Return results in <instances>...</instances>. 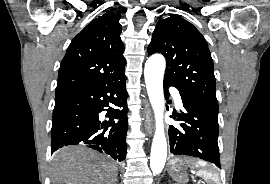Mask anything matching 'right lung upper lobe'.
<instances>
[{"label": "right lung upper lobe", "mask_w": 270, "mask_h": 184, "mask_svg": "<svg viewBox=\"0 0 270 184\" xmlns=\"http://www.w3.org/2000/svg\"><path fill=\"white\" fill-rule=\"evenodd\" d=\"M120 17L111 9L74 37L60 65L56 93L105 83L124 74Z\"/></svg>", "instance_id": "right-lung-upper-lobe-1"}]
</instances>
